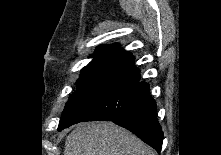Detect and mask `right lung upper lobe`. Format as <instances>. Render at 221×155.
<instances>
[{
    "label": "right lung upper lobe",
    "instance_id": "1",
    "mask_svg": "<svg viewBox=\"0 0 221 155\" xmlns=\"http://www.w3.org/2000/svg\"><path fill=\"white\" fill-rule=\"evenodd\" d=\"M121 56V57H127L130 55L129 52L125 50H121L119 46L116 45H100L97 47L95 53L91 55V57H100V56Z\"/></svg>",
    "mask_w": 221,
    "mask_h": 155
}]
</instances>
